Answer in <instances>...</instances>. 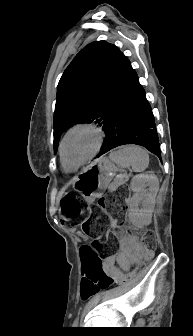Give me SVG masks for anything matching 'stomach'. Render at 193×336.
<instances>
[{"mask_svg": "<svg viewBox=\"0 0 193 336\" xmlns=\"http://www.w3.org/2000/svg\"><path fill=\"white\" fill-rule=\"evenodd\" d=\"M116 170L109 159L97 160L81 170L74 180L73 188L86 202L91 203L110 186Z\"/></svg>", "mask_w": 193, "mask_h": 336, "instance_id": "1", "label": "stomach"}]
</instances>
